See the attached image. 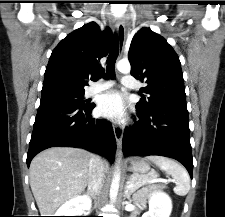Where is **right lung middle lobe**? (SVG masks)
<instances>
[{
  "label": "right lung middle lobe",
  "mask_w": 225,
  "mask_h": 217,
  "mask_svg": "<svg viewBox=\"0 0 225 217\" xmlns=\"http://www.w3.org/2000/svg\"><path fill=\"white\" fill-rule=\"evenodd\" d=\"M84 93L75 92H54L41 95V105L62 104L75 107H87L90 104L82 101Z\"/></svg>",
  "instance_id": "dd1d6c3e"
}]
</instances>
